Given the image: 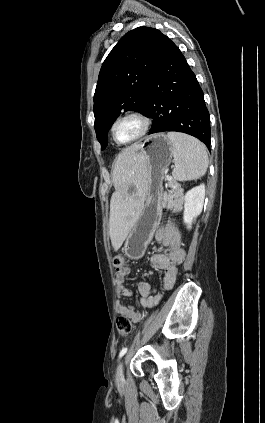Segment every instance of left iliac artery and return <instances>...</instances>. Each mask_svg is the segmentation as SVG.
<instances>
[{
    "mask_svg": "<svg viewBox=\"0 0 265 423\" xmlns=\"http://www.w3.org/2000/svg\"><path fill=\"white\" fill-rule=\"evenodd\" d=\"M127 347H124L121 351H120V353H119V359L121 358V357H123L125 354H126V352H127Z\"/></svg>",
    "mask_w": 265,
    "mask_h": 423,
    "instance_id": "obj_1",
    "label": "left iliac artery"
}]
</instances>
